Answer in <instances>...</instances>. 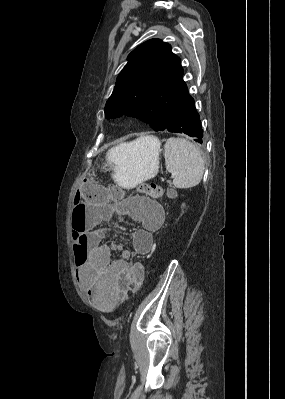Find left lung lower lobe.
Returning <instances> with one entry per match:
<instances>
[{
	"label": "left lung lower lobe",
	"mask_w": 285,
	"mask_h": 399,
	"mask_svg": "<svg viewBox=\"0 0 285 399\" xmlns=\"http://www.w3.org/2000/svg\"><path fill=\"white\" fill-rule=\"evenodd\" d=\"M164 130L187 134L195 137L196 142L202 143L203 130L200 117L187 87L174 105Z\"/></svg>",
	"instance_id": "0a47b994"
}]
</instances>
